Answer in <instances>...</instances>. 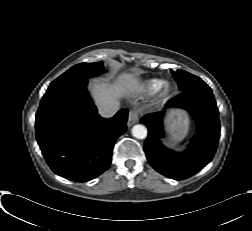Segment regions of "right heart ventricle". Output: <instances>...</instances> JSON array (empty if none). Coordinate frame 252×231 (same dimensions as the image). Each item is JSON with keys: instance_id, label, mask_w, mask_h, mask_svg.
<instances>
[{"instance_id": "obj_1", "label": "right heart ventricle", "mask_w": 252, "mask_h": 231, "mask_svg": "<svg viewBox=\"0 0 252 231\" xmlns=\"http://www.w3.org/2000/svg\"><path fill=\"white\" fill-rule=\"evenodd\" d=\"M162 83H163V80L161 79L144 80L136 87V92L139 95L152 94L154 92H157L160 89Z\"/></svg>"}]
</instances>
